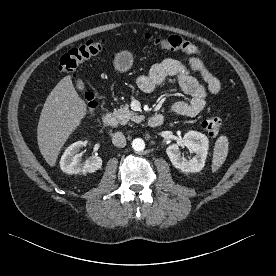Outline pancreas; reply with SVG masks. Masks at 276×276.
I'll return each instance as SVG.
<instances>
[{
  "mask_svg": "<svg viewBox=\"0 0 276 276\" xmlns=\"http://www.w3.org/2000/svg\"><path fill=\"white\" fill-rule=\"evenodd\" d=\"M114 115L120 120L122 125L131 124V121L140 123L143 120L142 116H138L137 113L130 111L127 104L120 109H115Z\"/></svg>",
  "mask_w": 276,
  "mask_h": 276,
  "instance_id": "obj_1",
  "label": "pancreas"
}]
</instances>
